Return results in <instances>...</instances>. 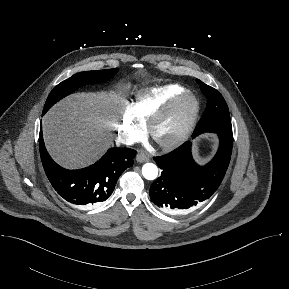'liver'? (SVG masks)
<instances>
[{
  "mask_svg": "<svg viewBox=\"0 0 289 289\" xmlns=\"http://www.w3.org/2000/svg\"><path fill=\"white\" fill-rule=\"evenodd\" d=\"M123 83L116 90L81 92L58 102L43 118V136L52 158L67 169L96 161L113 141Z\"/></svg>",
  "mask_w": 289,
  "mask_h": 289,
  "instance_id": "obj_1",
  "label": "liver"
}]
</instances>
